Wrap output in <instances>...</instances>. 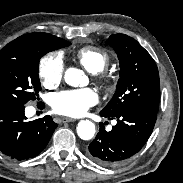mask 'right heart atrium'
I'll return each mask as SVG.
<instances>
[{
	"mask_svg": "<svg viewBox=\"0 0 183 183\" xmlns=\"http://www.w3.org/2000/svg\"><path fill=\"white\" fill-rule=\"evenodd\" d=\"M64 63L60 54L52 52L46 54L39 62L38 75L46 88H55L62 81Z\"/></svg>",
	"mask_w": 183,
	"mask_h": 183,
	"instance_id": "d8ad5b80",
	"label": "right heart atrium"
}]
</instances>
